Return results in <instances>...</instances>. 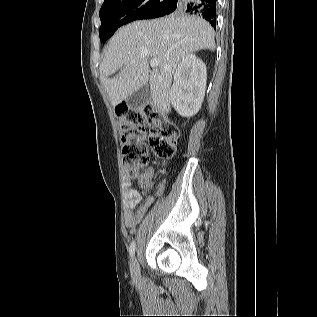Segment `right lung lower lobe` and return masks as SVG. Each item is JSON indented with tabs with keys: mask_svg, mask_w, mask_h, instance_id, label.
Here are the masks:
<instances>
[{
	"mask_svg": "<svg viewBox=\"0 0 317 317\" xmlns=\"http://www.w3.org/2000/svg\"><path fill=\"white\" fill-rule=\"evenodd\" d=\"M179 0H168L167 4L158 10H154L147 19L161 17L157 16V13L165 11L167 8L171 7ZM216 2L217 0H185L184 10L190 12L191 14H198L205 18L210 24L216 28ZM155 15L154 17H152Z\"/></svg>",
	"mask_w": 317,
	"mask_h": 317,
	"instance_id": "obj_1",
	"label": "right lung lower lobe"
}]
</instances>
